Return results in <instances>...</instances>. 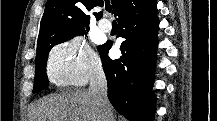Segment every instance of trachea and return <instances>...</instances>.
Segmentation results:
<instances>
[{
	"instance_id": "trachea-1",
	"label": "trachea",
	"mask_w": 217,
	"mask_h": 121,
	"mask_svg": "<svg viewBox=\"0 0 217 121\" xmlns=\"http://www.w3.org/2000/svg\"><path fill=\"white\" fill-rule=\"evenodd\" d=\"M111 9H112V6H110V5H107V6H106V10H107L108 12H111Z\"/></svg>"
}]
</instances>
